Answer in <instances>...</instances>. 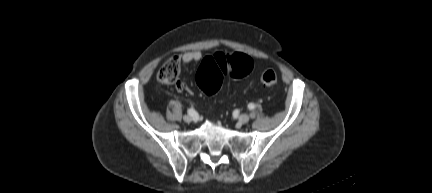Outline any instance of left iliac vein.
Masks as SVG:
<instances>
[{
  "label": "left iliac vein",
  "mask_w": 432,
  "mask_h": 193,
  "mask_svg": "<svg viewBox=\"0 0 432 193\" xmlns=\"http://www.w3.org/2000/svg\"><path fill=\"white\" fill-rule=\"evenodd\" d=\"M238 120H239V122H240L241 124H245V123L249 122L250 117H249V115H247V114H241V115L239 116Z\"/></svg>",
  "instance_id": "4c4485c4"
}]
</instances>
